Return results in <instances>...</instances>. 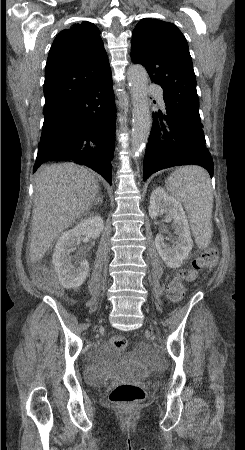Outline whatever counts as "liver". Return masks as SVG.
I'll return each mask as SVG.
<instances>
[{
	"instance_id": "6515ba94",
	"label": "liver",
	"mask_w": 245,
	"mask_h": 450,
	"mask_svg": "<svg viewBox=\"0 0 245 450\" xmlns=\"http://www.w3.org/2000/svg\"><path fill=\"white\" fill-rule=\"evenodd\" d=\"M99 184L73 163L42 167L36 174L31 223L30 259L39 262L54 240L90 209Z\"/></svg>"
}]
</instances>
